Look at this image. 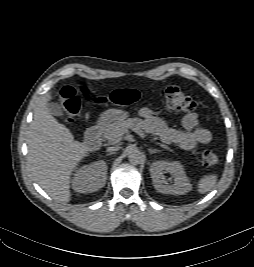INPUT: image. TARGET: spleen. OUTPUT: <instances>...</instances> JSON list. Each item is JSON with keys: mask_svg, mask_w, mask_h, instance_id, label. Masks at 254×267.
<instances>
[{"mask_svg": "<svg viewBox=\"0 0 254 267\" xmlns=\"http://www.w3.org/2000/svg\"><path fill=\"white\" fill-rule=\"evenodd\" d=\"M217 182L216 175H206L202 177L198 182V191L201 194L211 191Z\"/></svg>", "mask_w": 254, "mask_h": 267, "instance_id": "obj_1", "label": "spleen"}]
</instances>
